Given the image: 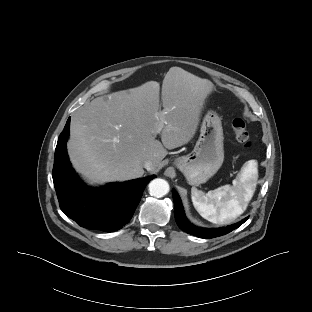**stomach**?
<instances>
[{
	"instance_id": "1",
	"label": "stomach",
	"mask_w": 312,
	"mask_h": 312,
	"mask_svg": "<svg viewBox=\"0 0 312 312\" xmlns=\"http://www.w3.org/2000/svg\"><path fill=\"white\" fill-rule=\"evenodd\" d=\"M223 140L221 118L210 110L203 118L193 151L174 160L190 185L205 183L220 169L224 161Z\"/></svg>"
}]
</instances>
